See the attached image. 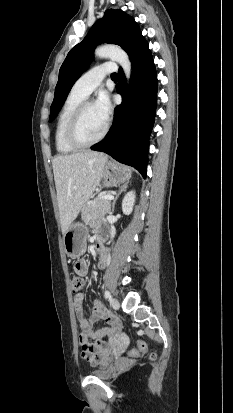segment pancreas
<instances>
[{
	"instance_id": "pancreas-1",
	"label": "pancreas",
	"mask_w": 233,
	"mask_h": 413,
	"mask_svg": "<svg viewBox=\"0 0 233 413\" xmlns=\"http://www.w3.org/2000/svg\"><path fill=\"white\" fill-rule=\"evenodd\" d=\"M110 212V201L99 198L94 202L86 205L82 210V220L85 224H88L93 219L106 215Z\"/></svg>"
}]
</instances>
